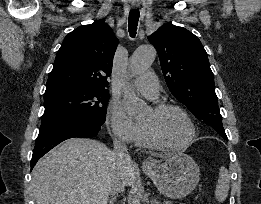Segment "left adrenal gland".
Segmentation results:
<instances>
[{
    "mask_svg": "<svg viewBox=\"0 0 261 204\" xmlns=\"http://www.w3.org/2000/svg\"><path fill=\"white\" fill-rule=\"evenodd\" d=\"M153 204H160L159 202H157L156 200L153 201Z\"/></svg>",
    "mask_w": 261,
    "mask_h": 204,
    "instance_id": "obj_1",
    "label": "left adrenal gland"
}]
</instances>
